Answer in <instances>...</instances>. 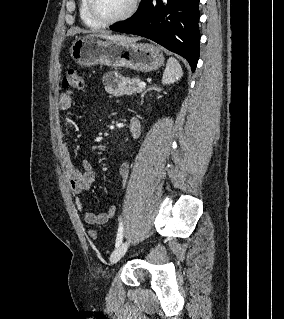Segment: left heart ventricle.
I'll use <instances>...</instances> for the list:
<instances>
[{
    "instance_id": "left-heart-ventricle-1",
    "label": "left heart ventricle",
    "mask_w": 284,
    "mask_h": 319,
    "mask_svg": "<svg viewBox=\"0 0 284 319\" xmlns=\"http://www.w3.org/2000/svg\"><path fill=\"white\" fill-rule=\"evenodd\" d=\"M131 0H96V8L101 16L115 18L126 11Z\"/></svg>"
}]
</instances>
